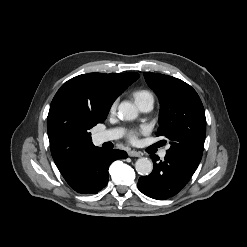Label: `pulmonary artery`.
Here are the masks:
<instances>
[{
    "instance_id": "obj_1",
    "label": "pulmonary artery",
    "mask_w": 247,
    "mask_h": 247,
    "mask_svg": "<svg viewBox=\"0 0 247 247\" xmlns=\"http://www.w3.org/2000/svg\"><path fill=\"white\" fill-rule=\"evenodd\" d=\"M137 107L141 112L147 113V112L152 110L153 102L146 100V101H143V102H140L139 104H137ZM122 134H123L122 129H112V130H108V131L99 133L97 136V139L99 142H108V141L118 139L119 137L122 136ZM160 156L162 158H164L166 156V150L165 149L160 152Z\"/></svg>"
}]
</instances>
